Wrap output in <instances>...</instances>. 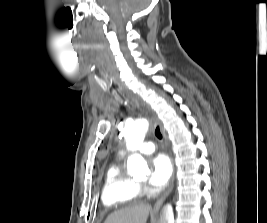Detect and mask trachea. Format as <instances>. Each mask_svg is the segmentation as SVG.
I'll use <instances>...</instances> for the list:
<instances>
[{
  "label": "trachea",
  "mask_w": 267,
  "mask_h": 223,
  "mask_svg": "<svg viewBox=\"0 0 267 223\" xmlns=\"http://www.w3.org/2000/svg\"><path fill=\"white\" fill-rule=\"evenodd\" d=\"M155 135L158 139H162V134H161L160 128L158 126L155 129Z\"/></svg>",
  "instance_id": "obj_1"
}]
</instances>
